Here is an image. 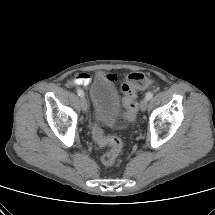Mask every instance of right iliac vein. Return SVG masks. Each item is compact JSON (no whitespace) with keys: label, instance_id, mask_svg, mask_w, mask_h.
Returning a JSON list of instances; mask_svg holds the SVG:
<instances>
[{"label":"right iliac vein","instance_id":"right-iliac-vein-1","mask_svg":"<svg viewBox=\"0 0 215 215\" xmlns=\"http://www.w3.org/2000/svg\"><path fill=\"white\" fill-rule=\"evenodd\" d=\"M81 108H82V111H83L84 113L87 112L88 103H87V100H86L84 97L81 98Z\"/></svg>","mask_w":215,"mask_h":215}]
</instances>
